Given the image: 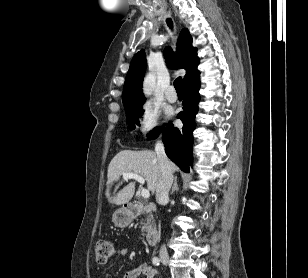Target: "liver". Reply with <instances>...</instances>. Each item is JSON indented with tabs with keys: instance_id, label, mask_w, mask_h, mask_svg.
<instances>
[{
	"instance_id": "1",
	"label": "liver",
	"mask_w": 308,
	"mask_h": 278,
	"mask_svg": "<svg viewBox=\"0 0 308 278\" xmlns=\"http://www.w3.org/2000/svg\"><path fill=\"white\" fill-rule=\"evenodd\" d=\"M172 172L177 166L170 162ZM137 173L144 177L148 190L154 194L160 178V169L157 155L151 150L133 151L122 150L117 153L108 166L106 197L110 203L123 205L128 203L134 195L135 184L130 182L116 196L110 195V188L124 173Z\"/></svg>"
}]
</instances>
